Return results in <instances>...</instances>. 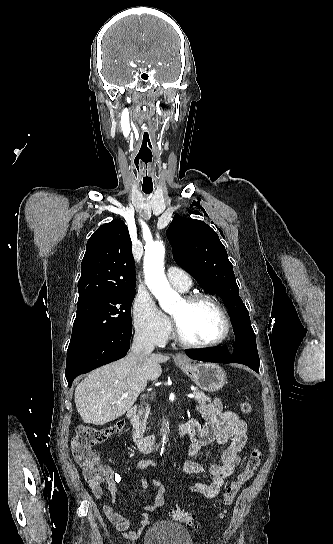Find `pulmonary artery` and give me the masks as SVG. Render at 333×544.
<instances>
[{"label":"pulmonary artery","instance_id":"1","mask_svg":"<svg viewBox=\"0 0 333 544\" xmlns=\"http://www.w3.org/2000/svg\"><path fill=\"white\" fill-rule=\"evenodd\" d=\"M167 278L173 287L182 292L187 291L192 285L189 274L178 267H169Z\"/></svg>","mask_w":333,"mask_h":544}]
</instances>
